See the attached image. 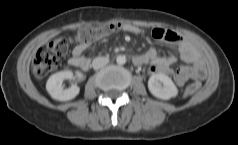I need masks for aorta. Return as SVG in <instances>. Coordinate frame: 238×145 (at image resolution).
I'll list each match as a JSON object with an SVG mask.
<instances>
[{
    "label": "aorta",
    "instance_id": "aorta-1",
    "mask_svg": "<svg viewBox=\"0 0 238 145\" xmlns=\"http://www.w3.org/2000/svg\"><path fill=\"white\" fill-rule=\"evenodd\" d=\"M116 62L119 65H123V64L126 63V57L124 55H118L117 58H116Z\"/></svg>",
    "mask_w": 238,
    "mask_h": 145
}]
</instances>
